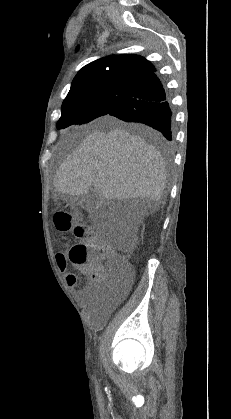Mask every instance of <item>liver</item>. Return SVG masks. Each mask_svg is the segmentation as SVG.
<instances>
[{
    "instance_id": "1",
    "label": "liver",
    "mask_w": 231,
    "mask_h": 419,
    "mask_svg": "<svg viewBox=\"0 0 231 419\" xmlns=\"http://www.w3.org/2000/svg\"><path fill=\"white\" fill-rule=\"evenodd\" d=\"M109 132H91L62 163L54 178L58 191L83 196L94 186L101 199L147 198L161 201L166 169L161 154L120 122L105 117ZM135 246L136 238L127 231Z\"/></svg>"
}]
</instances>
